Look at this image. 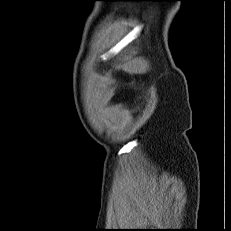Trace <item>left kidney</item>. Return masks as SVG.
I'll use <instances>...</instances> for the list:
<instances>
[{
    "mask_svg": "<svg viewBox=\"0 0 231 231\" xmlns=\"http://www.w3.org/2000/svg\"><path fill=\"white\" fill-rule=\"evenodd\" d=\"M149 69V63L143 58L133 59L125 65L124 70L130 74H143Z\"/></svg>",
    "mask_w": 231,
    "mask_h": 231,
    "instance_id": "left-kidney-1",
    "label": "left kidney"
}]
</instances>
